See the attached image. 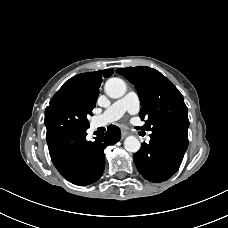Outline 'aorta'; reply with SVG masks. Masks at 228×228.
I'll return each mask as SVG.
<instances>
[{
    "label": "aorta",
    "instance_id": "762f6f07",
    "mask_svg": "<svg viewBox=\"0 0 228 228\" xmlns=\"http://www.w3.org/2000/svg\"><path fill=\"white\" fill-rule=\"evenodd\" d=\"M106 94L114 99L122 97L126 92V84L120 78H110L105 83ZM125 149L129 152L136 153L141 147L139 139L135 136H128L124 141Z\"/></svg>",
    "mask_w": 228,
    "mask_h": 228
}]
</instances>
